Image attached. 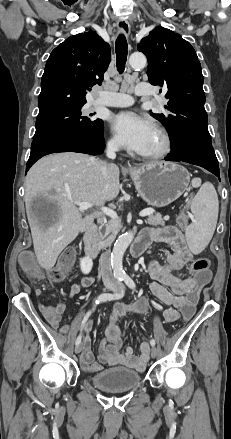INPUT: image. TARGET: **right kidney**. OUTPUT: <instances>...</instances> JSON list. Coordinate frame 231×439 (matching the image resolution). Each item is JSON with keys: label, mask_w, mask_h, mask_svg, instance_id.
Listing matches in <instances>:
<instances>
[{"label": "right kidney", "mask_w": 231, "mask_h": 439, "mask_svg": "<svg viewBox=\"0 0 231 439\" xmlns=\"http://www.w3.org/2000/svg\"><path fill=\"white\" fill-rule=\"evenodd\" d=\"M93 267V261L89 257H84L80 260V268L82 273L89 274Z\"/></svg>", "instance_id": "obj_1"}]
</instances>
